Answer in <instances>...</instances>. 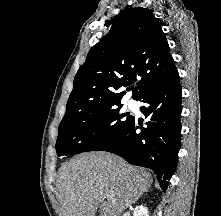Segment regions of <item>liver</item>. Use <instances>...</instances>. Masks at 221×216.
I'll use <instances>...</instances> for the list:
<instances>
[{
	"mask_svg": "<svg viewBox=\"0 0 221 216\" xmlns=\"http://www.w3.org/2000/svg\"><path fill=\"white\" fill-rule=\"evenodd\" d=\"M152 176L106 152H89L62 165L57 189L62 216H120L151 187Z\"/></svg>",
	"mask_w": 221,
	"mask_h": 216,
	"instance_id": "6515ba94",
	"label": "liver"
}]
</instances>
